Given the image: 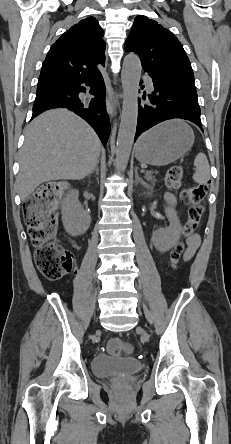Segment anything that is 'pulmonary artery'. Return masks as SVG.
Returning a JSON list of instances; mask_svg holds the SVG:
<instances>
[{
	"label": "pulmonary artery",
	"instance_id": "pulmonary-artery-1",
	"mask_svg": "<svg viewBox=\"0 0 231 444\" xmlns=\"http://www.w3.org/2000/svg\"><path fill=\"white\" fill-rule=\"evenodd\" d=\"M143 80L145 81L146 85L148 86L149 89H152L153 85H152V81L148 76L143 77Z\"/></svg>",
	"mask_w": 231,
	"mask_h": 444
}]
</instances>
